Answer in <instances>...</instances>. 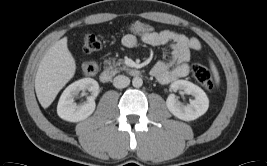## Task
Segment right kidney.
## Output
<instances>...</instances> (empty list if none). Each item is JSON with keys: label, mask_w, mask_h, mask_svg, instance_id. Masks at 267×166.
I'll list each match as a JSON object with an SVG mask.
<instances>
[{"label": "right kidney", "mask_w": 267, "mask_h": 166, "mask_svg": "<svg viewBox=\"0 0 267 166\" xmlns=\"http://www.w3.org/2000/svg\"><path fill=\"white\" fill-rule=\"evenodd\" d=\"M88 90L92 96L87 101L77 104L74 98L80 91ZM99 93L98 82L92 78H83L70 84L62 93L57 113L60 118L69 122H79L90 116L95 110V97Z\"/></svg>", "instance_id": "ca27d5eb"}]
</instances>
